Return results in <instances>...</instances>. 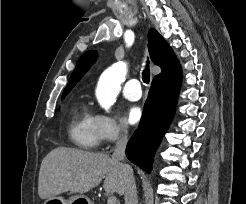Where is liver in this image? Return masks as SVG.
<instances>
[{"mask_svg": "<svg viewBox=\"0 0 246 204\" xmlns=\"http://www.w3.org/2000/svg\"><path fill=\"white\" fill-rule=\"evenodd\" d=\"M103 178L107 193L124 194L126 173L121 162L104 153L57 147L41 163L38 194L41 199L68 191L82 194L98 186Z\"/></svg>", "mask_w": 246, "mask_h": 204, "instance_id": "1", "label": "liver"}]
</instances>
